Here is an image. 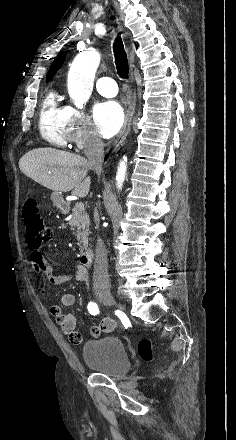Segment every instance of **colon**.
<instances>
[{
  "instance_id": "5ec220e1",
  "label": "colon",
  "mask_w": 236,
  "mask_h": 440,
  "mask_svg": "<svg viewBox=\"0 0 236 440\" xmlns=\"http://www.w3.org/2000/svg\"><path fill=\"white\" fill-rule=\"evenodd\" d=\"M24 225L26 230V242L31 248H38L42 243L48 241L51 230L45 223L38 208L33 201H30L23 212ZM153 352V345L150 340L142 339L138 345V353L144 359H150Z\"/></svg>"
}]
</instances>
